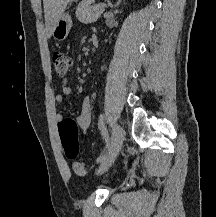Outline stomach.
<instances>
[{
	"label": "stomach",
	"mask_w": 216,
	"mask_h": 217,
	"mask_svg": "<svg viewBox=\"0 0 216 217\" xmlns=\"http://www.w3.org/2000/svg\"><path fill=\"white\" fill-rule=\"evenodd\" d=\"M71 27V16L68 13H63L54 25L52 36L57 41H63L67 38Z\"/></svg>",
	"instance_id": "obj_1"
}]
</instances>
